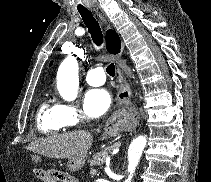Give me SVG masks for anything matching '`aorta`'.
<instances>
[{"label":"aorta","mask_w":211,"mask_h":182,"mask_svg":"<svg viewBox=\"0 0 211 182\" xmlns=\"http://www.w3.org/2000/svg\"><path fill=\"white\" fill-rule=\"evenodd\" d=\"M78 69L77 59L73 56H68L64 59L58 69L57 88L60 96L66 101H73L77 97L79 86ZM146 143L147 139L142 135L131 142L128 149L129 176L125 182H131Z\"/></svg>","instance_id":"obj_1"}]
</instances>
